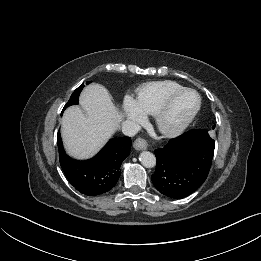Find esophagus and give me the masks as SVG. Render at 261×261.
I'll list each match as a JSON object with an SVG mask.
<instances>
[{"label":"esophagus","mask_w":261,"mask_h":261,"mask_svg":"<svg viewBox=\"0 0 261 261\" xmlns=\"http://www.w3.org/2000/svg\"><path fill=\"white\" fill-rule=\"evenodd\" d=\"M133 146L136 150H146L148 148V143L145 139L138 138L134 141Z\"/></svg>","instance_id":"obj_1"}]
</instances>
